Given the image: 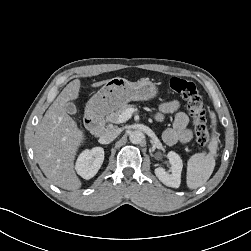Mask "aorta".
<instances>
[{
	"instance_id": "762f6f07",
	"label": "aorta",
	"mask_w": 251,
	"mask_h": 251,
	"mask_svg": "<svg viewBox=\"0 0 251 251\" xmlns=\"http://www.w3.org/2000/svg\"><path fill=\"white\" fill-rule=\"evenodd\" d=\"M144 137V134L138 130L132 131L129 134V140L133 144H140L144 140Z\"/></svg>"
}]
</instances>
